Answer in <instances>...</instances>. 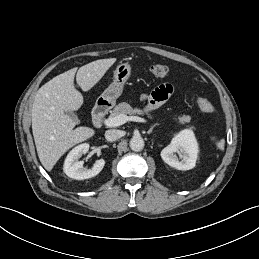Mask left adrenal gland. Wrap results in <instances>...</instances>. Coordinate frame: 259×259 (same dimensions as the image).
I'll use <instances>...</instances> for the list:
<instances>
[{
  "instance_id": "obj_1",
  "label": "left adrenal gland",
  "mask_w": 259,
  "mask_h": 259,
  "mask_svg": "<svg viewBox=\"0 0 259 259\" xmlns=\"http://www.w3.org/2000/svg\"><path fill=\"white\" fill-rule=\"evenodd\" d=\"M156 125H157V124H154L153 126H151V128L147 131V133L150 134V133L153 131V129H154V127H155Z\"/></svg>"
}]
</instances>
